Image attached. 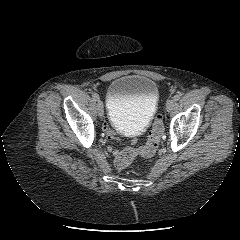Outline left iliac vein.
Listing matches in <instances>:
<instances>
[{
    "label": "left iliac vein",
    "mask_w": 240,
    "mask_h": 240,
    "mask_svg": "<svg viewBox=\"0 0 240 240\" xmlns=\"http://www.w3.org/2000/svg\"><path fill=\"white\" fill-rule=\"evenodd\" d=\"M174 105H175L174 100L173 99H168L166 101V109H167V111L171 112L173 110V108H174Z\"/></svg>",
    "instance_id": "4c4485c4"
}]
</instances>
